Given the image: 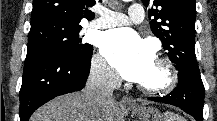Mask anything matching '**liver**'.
Masks as SVG:
<instances>
[{
  "label": "liver",
  "instance_id": "1",
  "mask_svg": "<svg viewBox=\"0 0 217 121\" xmlns=\"http://www.w3.org/2000/svg\"><path fill=\"white\" fill-rule=\"evenodd\" d=\"M30 121H123V114L115 101L106 112H95L83 93H70L41 106Z\"/></svg>",
  "mask_w": 217,
  "mask_h": 121
}]
</instances>
